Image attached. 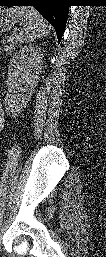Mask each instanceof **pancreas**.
<instances>
[{"mask_svg":"<svg viewBox=\"0 0 106 257\" xmlns=\"http://www.w3.org/2000/svg\"><path fill=\"white\" fill-rule=\"evenodd\" d=\"M19 42V38L17 36H11V37H7L6 39H3L1 41L2 43V47H1V51L5 52L6 54H10L15 47L17 46Z\"/></svg>","mask_w":106,"mask_h":257,"instance_id":"obj_1","label":"pancreas"}]
</instances>
